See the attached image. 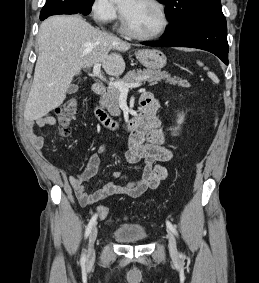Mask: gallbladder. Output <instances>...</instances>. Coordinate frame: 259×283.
<instances>
[{"label":"gallbladder","mask_w":259,"mask_h":283,"mask_svg":"<svg viewBox=\"0 0 259 283\" xmlns=\"http://www.w3.org/2000/svg\"><path fill=\"white\" fill-rule=\"evenodd\" d=\"M78 91V85L77 84H72L67 90L68 94H74Z\"/></svg>","instance_id":"1"}]
</instances>
